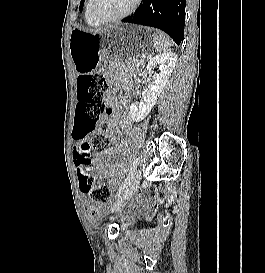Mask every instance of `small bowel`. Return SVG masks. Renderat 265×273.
I'll return each mask as SVG.
<instances>
[{
	"label": "small bowel",
	"mask_w": 265,
	"mask_h": 273,
	"mask_svg": "<svg viewBox=\"0 0 265 273\" xmlns=\"http://www.w3.org/2000/svg\"><path fill=\"white\" fill-rule=\"evenodd\" d=\"M107 102L109 105V112H108V118H107V127H106V133L109 136H113L116 132V129L119 125V119L121 117V114L117 111L118 105L116 100L109 96L107 97ZM128 124V121H126ZM75 140L73 150H72V160L73 165L77 171L78 166L81 164H90L93 168L98 169L101 173V176L105 178H111V172H110V166L107 161V157L113 153V148L107 149L103 154L98 156L96 159H81L80 156V146L85 142L84 140ZM101 213V206H91L87 210V214L91 218H96Z\"/></svg>",
	"instance_id": "c3829d8e"
}]
</instances>
